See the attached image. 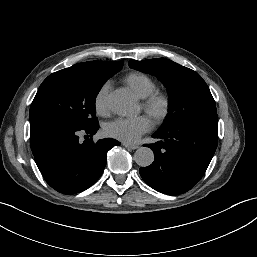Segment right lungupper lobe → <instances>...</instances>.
Returning <instances> with one entry per match:
<instances>
[{
	"label": "right lung upper lobe",
	"mask_w": 257,
	"mask_h": 257,
	"mask_svg": "<svg viewBox=\"0 0 257 257\" xmlns=\"http://www.w3.org/2000/svg\"><path fill=\"white\" fill-rule=\"evenodd\" d=\"M77 65H80L84 68H87L91 71H94L101 75H110V74H116L118 71L122 69L123 66V60L119 62L115 61H89L85 63H78Z\"/></svg>",
	"instance_id": "1"
}]
</instances>
